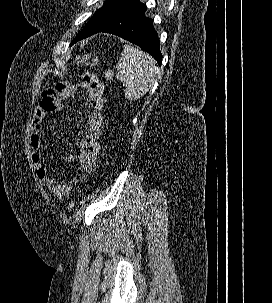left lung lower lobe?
Masks as SVG:
<instances>
[{"mask_svg":"<svg viewBox=\"0 0 272 303\" xmlns=\"http://www.w3.org/2000/svg\"><path fill=\"white\" fill-rule=\"evenodd\" d=\"M145 10L146 5L138 3L103 20L78 37L72 44L98 32L111 33L138 45L161 65L162 54L160 52L158 34L153 27L152 19L145 16Z\"/></svg>","mask_w":272,"mask_h":303,"instance_id":"1","label":"left lung lower lobe"}]
</instances>
